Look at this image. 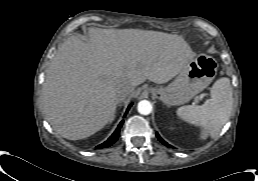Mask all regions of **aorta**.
I'll use <instances>...</instances> for the list:
<instances>
[{
  "label": "aorta",
  "mask_w": 258,
  "mask_h": 181,
  "mask_svg": "<svg viewBox=\"0 0 258 181\" xmlns=\"http://www.w3.org/2000/svg\"><path fill=\"white\" fill-rule=\"evenodd\" d=\"M138 112L142 115H148L152 112V105L148 100H141L137 106Z\"/></svg>",
  "instance_id": "aorta-1"
}]
</instances>
